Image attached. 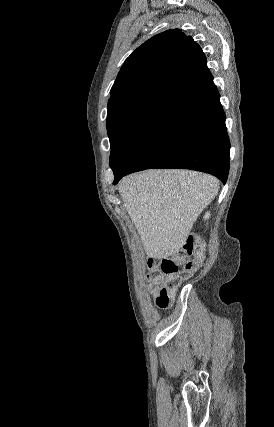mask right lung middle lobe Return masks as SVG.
<instances>
[{"mask_svg":"<svg viewBox=\"0 0 274 427\" xmlns=\"http://www.w3.org/2000/svg\"><path fill=\"white\" fill-rule=\"evenodd\" d=\"M174 104L164 95L152 94L109 110L110 166L128 164Z\"/></svg>","mask_w":274,"mask_h":427,"instance_id":"obj_1","label":"right lung middle lobe"}]
</instances>
